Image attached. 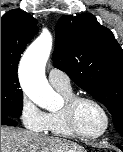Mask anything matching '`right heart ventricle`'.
I'll return each mask as SVG.
<instances>
[{"mask_svg": "<svg viewBox=\"0 0 123 152\" xmlns=\"http://www.w3.org/2000/svg\"><path fill=\"white\" fill-rule=\"evenodd\" d=\"M62 96L66 99L73 96L72 89L64 90L57 89ZM48 114V123L46 132L53 136L64 137V138H74L76 137L67 125L63 108L56 111H51Z\"/></svg>", "mask_w": 123, "mask_h": 152, "instance_id": "e07e8e85", "label": "right heart ventricle"}]
</instances>
